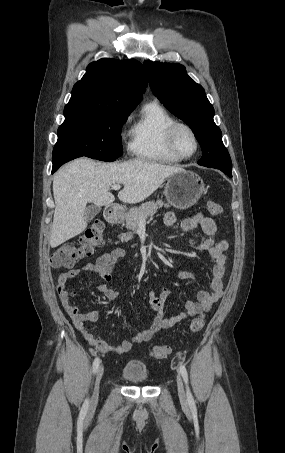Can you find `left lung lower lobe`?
Returning <instances> with one entry per match:
<instances>
[{
  "label": "left lung lower lobe",
  "mask_w": 285,
  "mask_h": 453,
  "mask_svg": "<svg viewBox=\"0 0 285 453\" xmlns=\"http://www.w3.org/2000/svg\"><path fill=\"white\" fill-rule=\"evenodd\" d=\"M229 177H232V174H227Z\"/></svg>",
  "instance_id": "left-lung-lower-lobe-1"
}]
</instances>
